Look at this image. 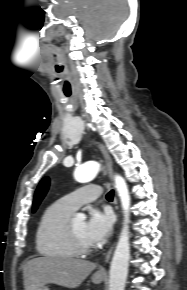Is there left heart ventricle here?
<instances>
[{
    "label": "left heart ventricle",
    "instance_id": "1",
    "mask_svg": "<svg viewBox=\"0 0 187 290\" xmlns=\"http://www.w3.org/2000/svg\"><path fill=\"white\" fill-rule=\"evenodd\" d=\"M85 226H86V223L84 220H76V219L72 220V227L76 235L79 237V239L83 243L91 245V243L86 238Z\"/></svg>",
    "mask_w": 187,
    "mask_h": 290
}]
</instances>
